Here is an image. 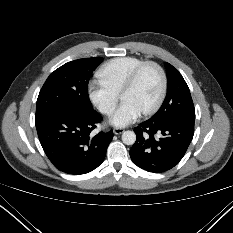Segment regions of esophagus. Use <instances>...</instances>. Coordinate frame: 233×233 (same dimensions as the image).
I'll use <instances>...</instances> for the list:
<instances>
[{
    "label": "esophagus",
    "instance_id": "obj_1",
    "mask_svg": "<svg viewBox=\"0 0 233 233\" xmlns=\"http://www.w3.org/2000/svg\"><path fill=\"white\" fill-rule=\"evenodd\" d=\"M114 134L119 135L124 132L123 128H114L113 129Z\"/></svg>",
    "mask_w": 233,
    "mask_h": 233
}]
</instances>
